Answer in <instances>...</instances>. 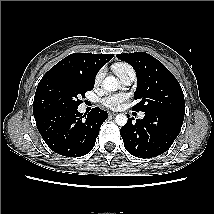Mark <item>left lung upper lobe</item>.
Listing matches in <instances>:
<instances>
[{
	"mask_svg": "<svg viewBox=\"0 0 214 214\" xmlns=\"http://www.w3.org/2000/svg\"><path fill=\"white\" fill-rule=\"evenodd\" d=\"M129 63L137 75L134 98L139 100L134 111L168 112L185 115V102L181 86L173 74L156 58L145 53L116 55Z\"/></svg>",
	"mask_w": 214,
	"mask_h": 214,
	"instance_id": "5c2ea615",
	"label": "left lung upper lobe"
}]
</instances>
